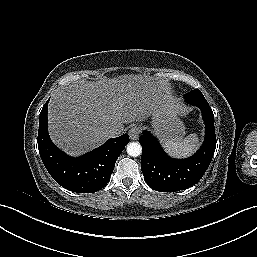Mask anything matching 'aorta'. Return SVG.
I'll return each instance as SVG.
<instances>
[{"mask_svg": "<svg viewBox=\"0 0 257 257\" xmlns=\"http://www.w3.org/2000/svg\"><path fill=\"white\" fill-rule=\"evenodd\" d=\"M142 147L138 142H130L127 145V153L132 157H137L141 154Z\"/></svg>", "mask_w": 257, "mask_h": 257, "instance_id": "762f6f07", "label": "aorta"}]
</instances>
